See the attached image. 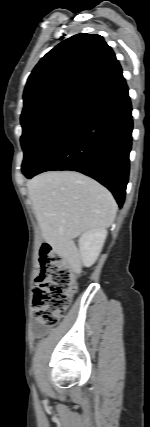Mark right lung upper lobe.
<instances>
[{"instance_id":"1","label":"right lung upper lobe","mask_w":150,"mask_h":427,"mask_svg":"<svg viewBox=\"0 0 150 427\" xmlns=\"http://www.w3.org/2000/svg\"><path fill=\"white\" fill-rule=\"evenodd\" d=\"M121 78V66L103 37L74 35L49 51L32 71L21 116L53 104L80 106Z\"/></svg>"}]
</instances>
